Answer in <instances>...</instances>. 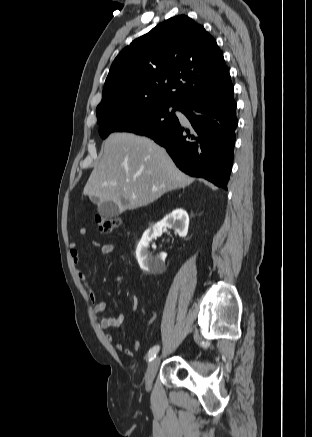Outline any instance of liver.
Segmentation results:
<instances>
[{
  "label": "liver",
  "instance_id": "6515ba94",
  "mask_svg": "<svg viewBox=\"0 0 312 437\" xmlns=\"http://www.w3.org/2000/svg\"><path fill=\"white\" fill-rule=\"evenodd\" d=\"M193 180L150 138L112 133L103 143V156L94 167L83 194L97 197L100 202L114 201L122 210H133Z\"/></svg>",
  "mask_w": 312,
  "mask_h": 437
}]
</instances>
